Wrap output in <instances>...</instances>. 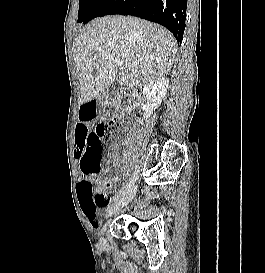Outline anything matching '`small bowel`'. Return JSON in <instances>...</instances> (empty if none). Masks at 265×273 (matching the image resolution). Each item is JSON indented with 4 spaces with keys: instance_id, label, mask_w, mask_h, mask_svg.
I'll return each instance as SVG.
<instances>
[{
    "instance_id": "small-bowel-1",
    "label": "small bowel",
    "mask_w": 265,
    "mask_h": 273,
    "mask_svg": "<svg viewBox=\"0 0 265 273\" xmlns=\"http://www.w3.org/2000/svg\"><path fill=\"white\" fill-rule=\"evenodd\" d=\"M79 119L80 123H93V119L96 118L97 110L95 103H80ZM74 129H93V124H74ZM78 169H80L81 158L78 153H75ZM112 162L118 164L119 156L114 154L112 156ZM81 180L78 185L80 186ZM111 186V182L97 180L95 182V191L92 194L86 195L79 193V200L82 212L89 224L93 227L98 225V211L110 204L113 198L106 193V189Z\"/></svg>"
}]
</instances>
